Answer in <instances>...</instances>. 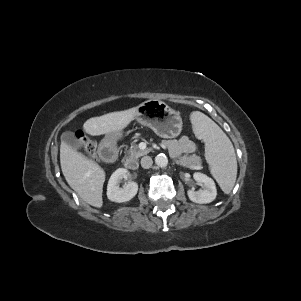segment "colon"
Returning <instances> with one entry per match:
<instances>
[{
  "instance_id": "1",
  "label": "colon",
  "mask_w": 301,
  "mask_h": 301,
  "mask_svg": "<svg viewBox=\"0 0 301 301\" xmlns=\"http://www.w3.org/2000/svg\"><path fill=\"white\" fill-rule=\"evenodd\" d=\"M77 137L86 153L90 156H95L97 150L96 143L87 137L83 132H78Z\"/></svg>"
}]
</instances>
